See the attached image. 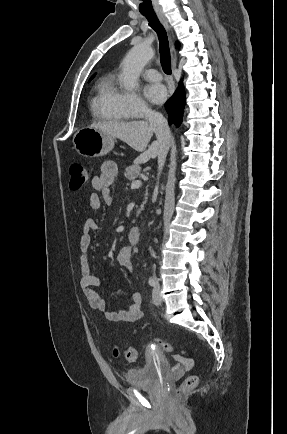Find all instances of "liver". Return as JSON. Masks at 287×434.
<instances>
[{"mask_svg": "<svg viewBox=\"0 0 287 434\" xmlns=\"http://www.w3.org/2000/svg\"><path fill=\"white\" fill-rule=\"evenodd\" d=\"M90 127L98 129L112 137H116L127 143L134 150L141 152L135 163L147 162L155 158L159 152V143L154 141L146 150L148 143L155 132L148 121L137 120L130 122H101L94 123Z\"/></svg>", "mask_w": 287, "mask_h": 434, "instance_id": "1", "label": "liver"}]
</instances>
